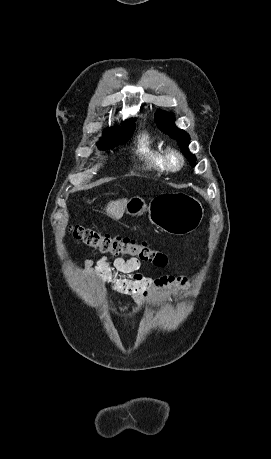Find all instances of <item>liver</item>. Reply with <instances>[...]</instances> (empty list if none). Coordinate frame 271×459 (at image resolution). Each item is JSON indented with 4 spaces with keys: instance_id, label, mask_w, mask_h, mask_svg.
<instances>
[{
    "instance_id": "liver-1",
    "label": "liver",
    "mask_w": 271,
    "mask_h": 459,
    "mask_svg": "<svg viewBox=\"0 0 271 459\" xmlns=\"http://www.w3.org/2000/svg\"><path fill=\"white\" fill-rule=\"evenodd\" d=\"M126 206L127 200H116V202H109L106 208L107 216H110V218H113V220H120L125 212Z\"/></svg>"
}]
</instances>
